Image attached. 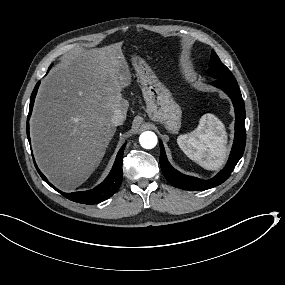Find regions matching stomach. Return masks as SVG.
<instances>
[{
	"label": "stomach",
	"instance_id": "0dacf381",
	"mask_svg": "<svg viewBox=\"0 0 285 285\" xmlns=\"http://www.w3.org/2000/svg\"><path fill=\"white\" fill-rule=\"evenodd\" d=\"M136 70L142 80V92L146 113L155 122H161L166 129L176 132L180 128L181 109L168 90L156 79L142 60H135Z\"/></svg>",
	"mask_w": 285,
	"mask_h": 285
}]
</instances>
